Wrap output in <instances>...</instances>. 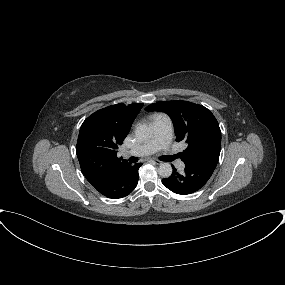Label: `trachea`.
I'll return each mask as SVG.
<instances>
[{
  "label": "trachea",
  "mask_w": 285,
  "mask_h": 285,
  "mask_svg": "<svg viewBox=\"0 0 285 285\" xmlns=\"http://www.w3.org/2000/svg\"><path fill=\"white\" fill-rule=\"evenodd\" d=\"M179 157V154L178 155H174V156H163L162 160L163 161H172L173 159ZM138 161V158L137 157H130L129 158V162L130 163H135Z\"/></svg>",
  "instance_id": "trachea-1"
}]
</instances>
